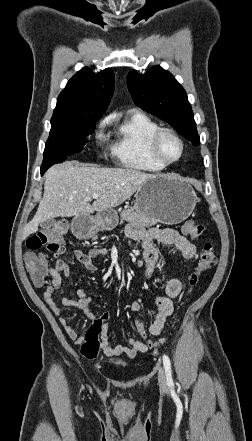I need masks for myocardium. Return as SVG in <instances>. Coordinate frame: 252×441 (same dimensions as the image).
<instances>
[{
  "instance_id": "obj_1",
  "label": "myocardium",
  "mask_w": 252,
  "mask_h": 441,
  "mask_svg": "<svg viewBox=\"0 0 252 441\" xmlns=\"http://www.w3.org/2000/svg\"><path fill=\"white\" fill-rule=\"evenodd\" d=\"M168 136L175 139L180 145V154L176 159L166 160L162 157L159 150L160 141L163 137ZM149 152L152 158L164 167L177 163L182 159L185 152V144L181 137L169 128H158L149 139Z\"/></svg>"
}]
</instances>
